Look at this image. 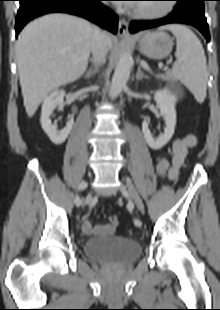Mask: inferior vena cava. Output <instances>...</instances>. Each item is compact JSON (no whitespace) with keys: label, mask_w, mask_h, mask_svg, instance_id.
Instances as JSON below:
<instances>
[{"label":"inferior vena cava","mask_w":220,"mask_h":310,"mask_svg":"<svg viewBox=\"0 0 220 310\" xmlns=\"http://www.w3.org/2000/svg\"><path fill=\"white\" fill-rule=\"evenodd\" d=\"M91 52L95 64L101 65L105 63L107 55L106 35L96 26L93 27Z\"/></svg>","instance_id":"obj_1"}]
</instances>
